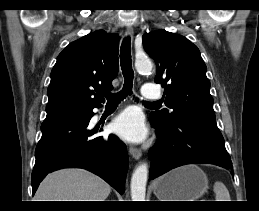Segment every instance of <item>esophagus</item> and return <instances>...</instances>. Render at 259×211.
<instances>
[{"label": "esophagus", "instance_id": "esophagus-1", "mask_svg": "<svg viewBox=\"0 0 259 211\" xmlns=\"http://www.w3.org/2000/svg\"><path fill=\"white\" fill-rule=\"evenodd\" d=\"M126 35L133 39L134 30L131 26L126 28ZM129 152L134 159H139L142 155L141 151L134 146H130Z\"/></svg>", "mask_w": 259, "mask_h": 211}]
</instances>
